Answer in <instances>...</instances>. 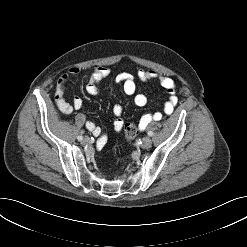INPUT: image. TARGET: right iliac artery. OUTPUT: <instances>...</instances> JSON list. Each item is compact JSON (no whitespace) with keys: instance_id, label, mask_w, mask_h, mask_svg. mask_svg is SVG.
Masks as SVG:
<instances>
[{"instance_id":"82829eb1","label":"right iliac artery","mask_w":247,"mask_h":247,"mask_svg":"<svg viewBox=\"0 0 247 247\" xmlns=\"http://www.w3.org/2000/svg\"><path fill=\"white\" fill-rule=\"evenodd\" d=\"M77 139H78L79 141H81V140L83 139V136H82V135H79V136L77 137Z\"/></svg>"}]
</instances>
